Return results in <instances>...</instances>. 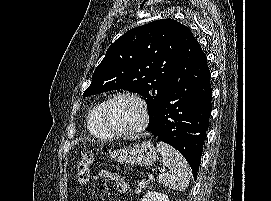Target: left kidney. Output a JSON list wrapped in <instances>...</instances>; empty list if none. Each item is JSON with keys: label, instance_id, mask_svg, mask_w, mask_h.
Segmentation results:
<instances>
[{"label": "left kidney", "instance_id": "1", "mask_svg": "<svg viewBox=\"0 0 271 201\" xmlns=\"http://www.w3.org/2000/svg\"><path fill=\"white\" fill-rule=\"evenodd\" d=\"M142 201H169L168 196L159 192H148Z\"/></svg>", "mask_w": 271, "mask_h": 201}]
</instances>
